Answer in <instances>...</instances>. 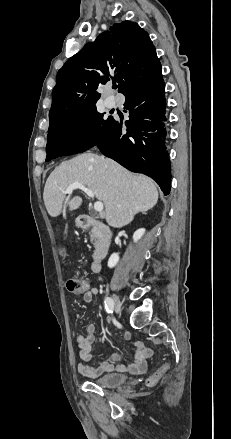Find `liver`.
Masks as SVG:
<instances>
[{
  "mask_svg": "<svg viewBox=\"0 0 231 439\" xmlns=\"http://www.w3.org/2000/svg\"><path fill=\"white\" fill-rule=\"evenodd\" d=\"M73 183L94 192L104 204L107 223L114 228L129 224L135 214L148 211L158 201L156 184L149 177L133 174L103 156L83 153L62 162L49 175L43 200L50 216H59L67 206L70 211L81 206L80 196L66 197V188Z\"/></svg>",
  "mask_w": 231,
  "mask_h": 439,
  "instance_id": "obj_1",
  "label": "liver"
}]
</instances>
